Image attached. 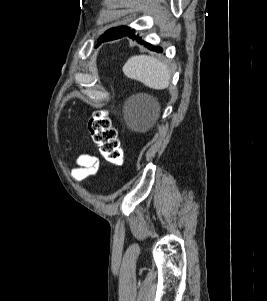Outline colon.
<instances>
[{
  "instance_id": "obj_1",
  "label": "colon",
  "mask_w": 267,
  "mask_h": 301,
  "mask_svg": "<svg viewBox=\"0 0 267 301\" xmlns=\"http://www.w3.org/2000/svg\"><path fill=\"white\" fill-rule=\"evenodd\" d=\"M88 130L106 161L115 165L124 163L123 148L106 111H96L91 115L88 121Z\"/></svg>"
}]
</instances>
